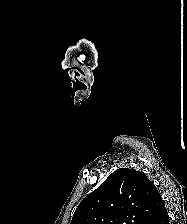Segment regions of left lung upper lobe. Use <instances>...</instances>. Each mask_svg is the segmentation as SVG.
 <instances>
[{
	"label": "left lung upper lobe",
	"mask_w": 187,
	"mask_h": 224,
	"mask_svg": "<svg viewBox=\"0 0 187 224\" xmlns=\"http://www.w3.org/2000/svg\"><path fill=\"white\" fill-rule=\"evenodd\" d=\"M162 202L145 173L120 168L82 200L70 224H150Z\"/></svg>",
	"instance_id": "1"
}]
</instances>
